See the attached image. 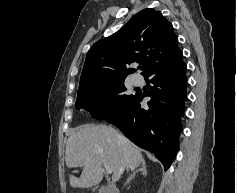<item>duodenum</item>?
I'll use <instances>...</instances> for the list:
<instances>
[{"instance_id": "1", "label": "duodenum", "mask_w": 237, "mask_h": 193, "mask_svg": "<svg viewBox=\"0 0 237 193\" xmlns=\"http://www.w3.org/2000/svg\"><path fill=\"white\" fill-rule=\"evenodd\" d=\"M110 193H117V191L112 189Z\"/></svg>"}]
</instances>
